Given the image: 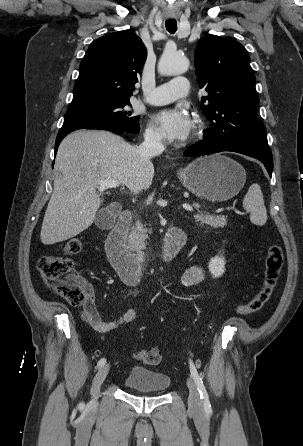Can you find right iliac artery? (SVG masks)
Returning a JSON list of instances; mask_svg holds the SVG:
<instances>
[{"label": "right iliac artery", "instance_id": "1", "mask_svg": "<svg viewBox=\"0 0 303 446\" xmlns=\"http://www.w3.org/2000/svg\"><path fill=\"white\" fill-rule=\"evenodd\" d=\"M105 363H106V359H105V358H102V359L99 360V362H98V364H97V367L100 368V367L104 366Z\"/></svg>", "mask_w": 303, "mask_h": 446}]
</instances>
